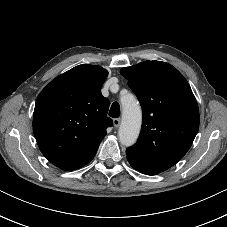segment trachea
<instances>
[{"label": "trachea", "instance_id": "trachea-1", "mask_svg": "<svg viewBox=\"0 0 227 227\" xmlns=\"http://www.w3.org/2000/svg\"><path fill=\"white\" fill-rule=\"evenodd\" d=\"M109 116L112 118H118L120 116V106L118 102H114L111 105Z\"/></svg>", "mask_w": 227, "mask_h": 227}]
</instances>
